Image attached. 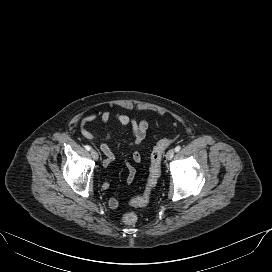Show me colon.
Here are the masks:
<instances>
[{
    "label": "colon",
    "mask_w": 272,
    "mask_h": 272,
    "mask_svg": "<svg viewBox=\"0 0 272 272\" xmlns=\"http://www.w3.org/2000/svg\"><path fill=\"white\" fill-rule=\"evenodd\" d=\"M171 143L172 141L170 139H161L153 147L150 156V168L144 192L142 195L137 196L130 200L131 206L134 207L144 206L149 202L152 192L160 176L163 154L166 151V149L171 145ZM122 221L127 226H133L137 223L138 216L134 212H127L126 214L123 215Z\"/></svg>",
    "instance_id": "obj_1"
}]
</instances>
